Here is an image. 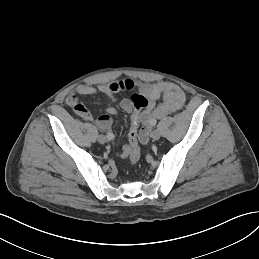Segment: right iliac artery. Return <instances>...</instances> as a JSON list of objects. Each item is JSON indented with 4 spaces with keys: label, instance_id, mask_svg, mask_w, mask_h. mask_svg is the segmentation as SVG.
<instances>
[{
    "label": "right iliac artery",
    "instance_id": "obj_1",
    "mask_svg": "<svg viewBox=\"0 0 259 259\" xmlns=\"http://www.w3.org/2000/svg\"><path fill=\"white\" fill-rule=\"evenodd\" d=\"M106 137H107L108 140H113L114 134L113 133H107Z\"/></svg>",
    "mask_w": 259,
    "mask_h": 259
}]
</instances>
